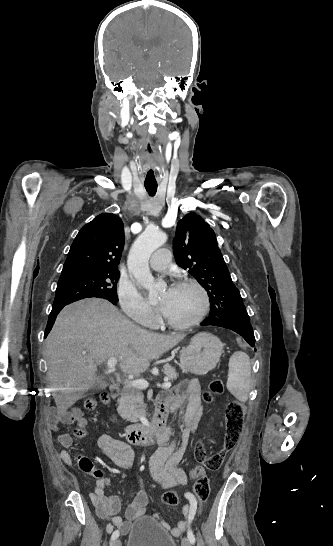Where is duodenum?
<instances>
[{
    "label": "duodenum",
    "mask_w": 333,
    "mask_h": 546,
    "mask_svg": "<svg viewBox=\"0 0 333 546\" xmlns=\"http://www.w3.org/2000/svg\"><path fill=\"white\" fill-rule=\"evenodd\" d=\"M111 398L119 396V388L116 385L110 387ZM167 430L165 417L158 415L151 425L128 426L125 429L124 437L132 445H142L158 441L164 436Z\"/></svg>",
    "instance_id": "obj_1"
}]
</instances>
